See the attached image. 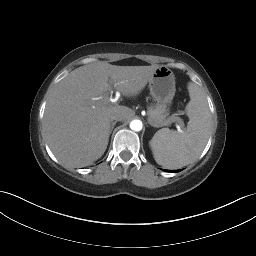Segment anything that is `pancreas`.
<instances>
[{"label":"pancreas","mask_w":256,"mask_h":256,"mask_svg":"<svg viewBox=\"0 0 256 256\" xmlns=\"http://www.w3.org/2000/svg\"><path fill=\"white\" fill-rule=\"evenodd\" d=\"M168 115L169 113L167 112L165 107L161 104H158L155 107H149L148 121L149 123L154 124L155 127H161L163 125L176 121L175 116L167 117Z\"/></svg>","instance_id":"1"}]
</instances>
